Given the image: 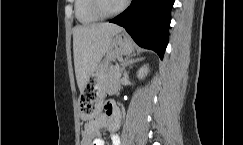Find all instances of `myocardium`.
<instances>
[{
    "instance_id": "f54148a6",
    "label": "myocardium",
    "mask_w": 243,
    "mask_h": 145,
    "mask_svg": "<svg viewBox=\"0 0 243 145\" xmlns=\"http://www.w3.org/2000/svg\"><path fill=\"white\" fill-rule=\"evenodd\" d=\"M130 0H124L123 3L115 10H107L104 6V0H92V9L94 13L100 18H108L123 12Z\"/></svg>"
}]
</instances>
